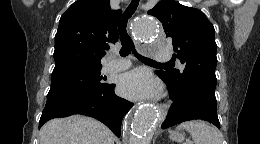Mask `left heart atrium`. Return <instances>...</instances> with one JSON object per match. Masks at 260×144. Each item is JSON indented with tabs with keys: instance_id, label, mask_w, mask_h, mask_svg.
<instances>
[{
	"instance_id": "left-heart-atrium-1",
	"label": "left heart atrium",
	"mask_w": 260,
	"mask_h": 144,
	"mask_svg": "<svg viewBox=\"0 0 260 144\" xmlns=\"http://www.w3.org/2000/svg\"><path fill=\"white\" fill-rule=\"evenodd\" d=\"M118 88L129 99H149L157 94L158 83L149 72L135 69L121 76Z\"/></svg>"
}]
</instances>
